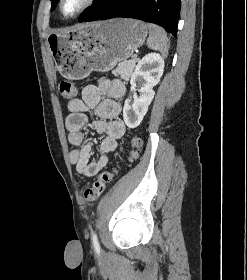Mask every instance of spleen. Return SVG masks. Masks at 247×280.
<instances>
[{"mask_svg": "<svg viewBox=\"0 0 247 280\" xmlns=\"http://www.w3.org/2000/svg\"><path fill=\"white\" fill-rule=\"evenodd\" d=\"M146 26L149 29L147 46L152 50H158L163 55H166L169 49V40L165 31L161 27L151 23H148Z\"/></svg>", "mask_w": 247, "mask_h": 280, "instance_id": "1", "label": "spleen"}]
</instances>
